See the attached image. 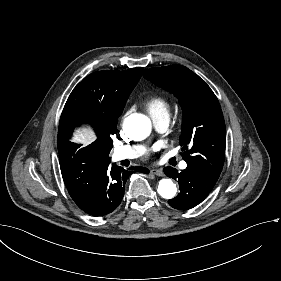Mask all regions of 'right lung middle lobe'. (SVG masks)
Returning a JSON list of instances; mask_svg holds the SVG:
<instances>
[{"mask_svg":"<svg viewBox=\"0 0 281 281\" xmlns=\"http://www.w3.org/2000/svg\"><path fill=\"white\" fill-rule=\"evenodd\" d=\"M116 132V128L108 130L107 136L104 140L101 142V147L105 151H110L113 147V140L111 139V136Z\"/></svg>","mask_w":281,"mask_h":281,"instance_id":"dd1d6c3e","label":"right lung middle lobe"}]
</instances>
